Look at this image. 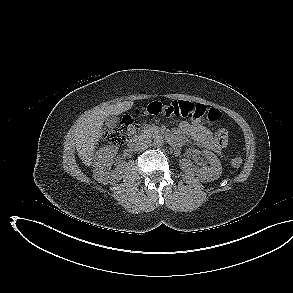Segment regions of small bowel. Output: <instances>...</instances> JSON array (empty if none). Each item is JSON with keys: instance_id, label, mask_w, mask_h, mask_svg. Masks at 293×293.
Here are the masks:
<instances>
[{"instance_id": "small-bowel-1", "label": "small bowel", "mask_w": 293, "mask_h": 293, "mask_svg": "<svg viewBox=\"0 0 293 293\" xmlns=\"http://www.w3.org/2000/svg\"><path fill=\"white\" fill-rule=\"evenodd\" d=\"M180 130L190 136L201 147L221 153L222 148L218 147L216 139L204 125L198 122L182 121Z\"/></svg>"}]
</instances>
